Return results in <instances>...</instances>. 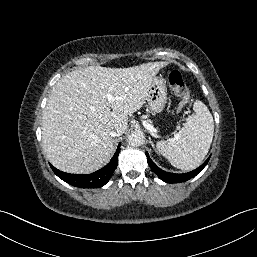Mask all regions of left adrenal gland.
<instances>
[{
	"label": "left adrenal gland",
	"mask_w": 257,
	"mask_h": 257,
	"mask_svg": "<svg viewBox=\"0 0 257 257\" xmlns=\"http://www.w3.org/2000/svg\"><path fill=\"white\" fill-rule=\"evenodd\" d=\"M149 142H150V144H151L152 148L156 151V148H155V146H154V143L152 142V140H151V138H150V137H149Z\"/></svg>",
	"instance_id": "obj_1"
}]
</instances>
